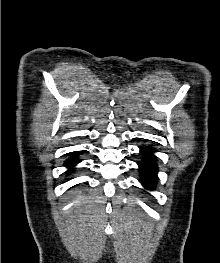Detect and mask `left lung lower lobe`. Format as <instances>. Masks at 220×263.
<instances>
[{
  "label": "left lung lower lobe",
  "mask_w": 220,
  "mask_h": 263,
  "mask_svg": "<svg viewBox=\"0 0 220 263\" xmlns=\"http://www.w3.org/2000/svg\"><path fill=\"white\" fill-rule=\"evenodd\" d=\"M143 152V158L145 159L142 162H138L141 173V183L147 189H154L157 181V171L158 167L154 162V156L152 155V148L141 147Z\"/></svg>",
  "instance_id": "1"
}]
</instances>
